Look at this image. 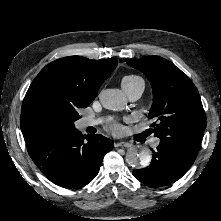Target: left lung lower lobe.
I'll use <instances>...</instances> for the list:
<instances>
[{
  "label": "left lung lower lobe",
  "instance_id": "1",
  "mask_svg": "<svg viewBox=\"0 0 221 221\" xmlns=\"http://www.w3.org/2000/svg\"><path fill=\"white\" fill-rule=\"evenodd\" d=\"M152 151L151 164L133 171L135 178L152 188L174 183L187 172L195 160L163 145Z\"/></svg>",
  "mask_w": 221,
  "mask_h": 221
}]
</instances>
